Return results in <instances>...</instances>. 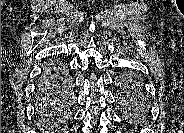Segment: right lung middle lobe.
<instances>
[{"mask_svg":"<svg viewBox=\"0 0 184 133\" xmlns=\"http://www.w3.org/2000/svg\"><path fill=\"white\" fill-rule=\"evenodd\" d=\"M68 84L63 65L46 66L37 88V108L41 116L53 114L63 104L62 92L68 89Z\"/></svg>","mask_w":184,"mask_h":133,"instance_id":"dd1d6c3e","label":"right lung middle lobe"}]
</instances>
